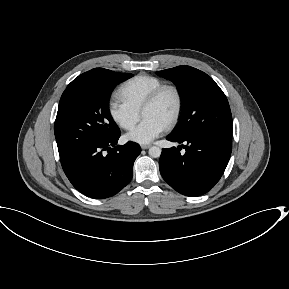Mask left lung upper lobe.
I'll list each match as a JSON object with an SVG mask.
<instances>
[{
    "instance_id": "5c2ea615",
    "label": "left lung upper lobe",
    "mask_w": 289,
    "mask_h": 289,
    "mask_svg": "<svg viewBox=\"0 0 289 289\" xmlns=\"http://www.w3.org/2000/svg\"><path fill=\"white\" fill-rule=\"evenodd\" d=\"M157 74L173 81L182 99L181 121L172 134L231 137L232 115L227 98L210 76L186 65L158 71Z\"/></svg>"
}]
</instances>
